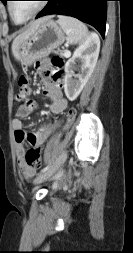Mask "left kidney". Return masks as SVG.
Returning <instances> with one entry per match:
<instances>
[{"label":"left kidney","instance_id":"5707ae66","mask_svg":"<svg viewBox=\"0 0 133 253\" xmlns=\"http://www.w3.org/2000/svg\"><path fill=\"white\" fill-rule=\"evenodd\" d=\"M100 51V39L92 33L74 51L72 58L65 64L64 91L70 101L75 100L88 82L96 66ZM76 61L79 66H76ZM78 70L77 75L74 71ZM73 76L77 79H73Z\"/></svg>","mask_w":133,"mask_h":253}]
</instances>
